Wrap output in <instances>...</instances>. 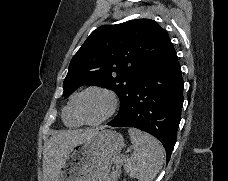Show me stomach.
Returning a JSON list of instances; mask_svg holds the SVG:
<instances>
[{"mask_svg":"<svg viewBox=\"0 0 228 181\" xmlns=\"http://www.w3.org/2000/svg\"><path fill=\"white\" fill-rule=\"evenodd\" d=\"M124 139L116 131H97L68 153L57 181H107Z\"/></svg>","mask_w":228,"mask_h":181,"instance_id":"1","label":"stomach"}]
</instances>
